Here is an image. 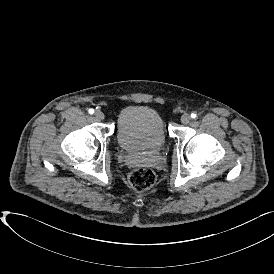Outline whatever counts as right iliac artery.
<instances>
[{
  "instance_id": "right-iliac-artery-1",
  "label": "right iliac artery",
  "mask_w": 274,
  "mask_h": 274,
  "mask_svg": "<svg viewBox=\"0 0 274 274\" xmlns=\"http://www.w3.org/2000/svg\"><path fill=\"white\" fill-rule=\"evenodd\" d=\"M90 114H93L94 113V109H89V111H88Z\"/></svg>"
}]
</instances>
